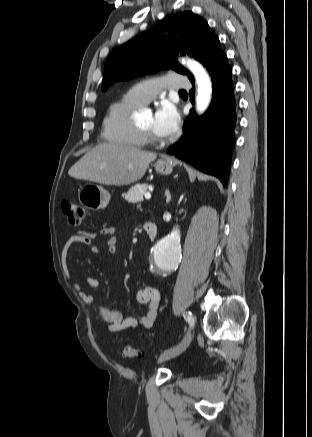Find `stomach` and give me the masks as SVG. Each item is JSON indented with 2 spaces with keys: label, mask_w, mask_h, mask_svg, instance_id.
<instances>
[{
  "label": "stomach",
  "mask_w": 312,
  "mask_h": 437,
  "mask_svg": "<svg viewBox=\"0 0 312 437\" xmlns=\"http://www.w3.org/2000/svg\"><path fill=\"white\" fill-rule=\"evenodd\" d=\"M155 170L158 174L169 175L173 171V165L170 158L159 159L154 164ZM110 193L102 186L87 183L79 191L78 199L80 203L89 210L97 211L105 209L110 201Z\"/></svg>",
  "instance_id": "stomach-1"
}]
</instances>
